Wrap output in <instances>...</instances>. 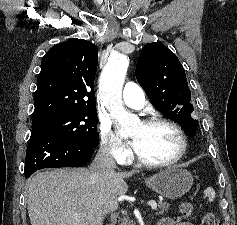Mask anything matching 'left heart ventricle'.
Listing matches in <instances>:
<instances>
[{
  "mask_svg": "<svg viewBox=\"0 0 237 225\" xmlns=\"http://www.w3.org/2000/svg\"><path fill=\"white\" fill-rule=\"evenodd\" d=\"M130 137L136 142V152L147 161H166L173 158L180 148L176 132L164 125L146 127L139 124Z\"/></svg>",
  "mask_w": 237,
  "mask_h": 225,
  "instance_id": "obj_1",
  "label": "left heart ventricle"
}]
</instances>
